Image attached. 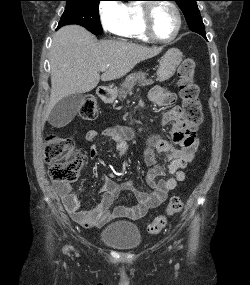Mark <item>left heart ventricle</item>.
<instances>
[{"label": "left heart ventricle", "instance_id": "obj_1", "mask_svg": "<svg viewBox=\"0 0 250 285\" xmlns=\"http://www.w3.org/2000/svg\"><path fill=\"white\" fill-rule=\"evenodd\" d=\"M152 25L158 37L169 38L176 30L177 17L168 5L158 4L153 11Z\"/></svg>", "mask_w": 250, "mask_h": 285}]
</instances>
